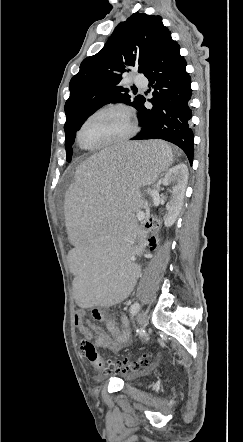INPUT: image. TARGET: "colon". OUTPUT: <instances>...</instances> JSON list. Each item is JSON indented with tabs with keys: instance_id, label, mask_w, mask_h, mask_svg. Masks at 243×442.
Returning a JSON list of instances; mask_svg holds the SVG:
<instances>
[{
	"instance_id": "1",
	"label": "colon",
	"mask_w": 243,
	"mask_h": 442,
	"mask_svg": "<svg viewBox=\"0 0 243 442\" xmlns=\"http://www.w3.org/2000/svg\"><path fill=\"white\" fill-rule=\"evenodd\" d=\"M159 221L158 216H151L144 223V237L142 241L146 243V247L151 254L161 251L158 242L161 239L160 233L163 231V228L158 225ZM81 351L94 369L107 374L134 371L146 365L154 364V357L148 354H143L140 357L123 356L121 361L108 360L98 352L95 345L91 342L82 343Z\"/></svg>"
}]
</instances>
